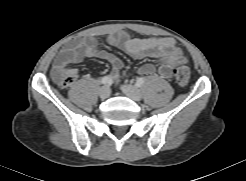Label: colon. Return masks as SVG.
<instances>
[{"instance_id": "5ec220e1", "label": "colon", "mask_w": 246, "mask_h": 181, "mask_svg": "<svg viewBox=\"0 0 246 181\" xmlns=\"http://www.w3.org/2000/svg\"><path fill=\"white\" fill-rule=\"evenodd\" d=\"M175 81L179 86H186L190 80V68L187 62L180 60L174 70ZM53 79L61 87H68L75 82L76 71L70 68H59L53 70Z\"/></svg>"}]
</instances>
